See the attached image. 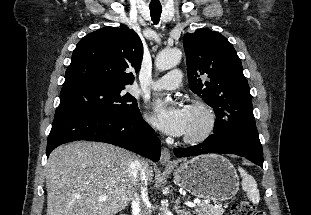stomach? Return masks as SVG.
<instances>
[{
	"label": "stomach",
	"instance_id": "0dacf381",
	"mask_svg": "<svg viewBox=\"0 0 311 215\" xmlns=\"http://www.w3.org/2000/svg\"><path fill=\"white\" fill-rule=\"evenodd\" d=\"M175 183L193 196L216 202L233 198L239 178L233 165L221 155H202L173 170Z\"/></svg>",
	"mask_w": 311,
	"mask_h": 215
}]
</instances>
